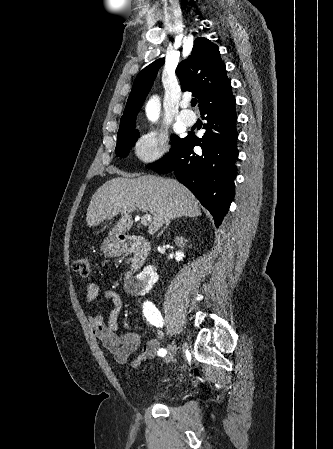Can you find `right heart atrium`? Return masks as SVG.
Masks as SVG:
<instances>
[{"instance_id":"1","label":"right heart atrium","mask_w":333,"mask_h":449,"mask_svg":"<svg viewBox=\"0 0 333 449\" xmlns=\"http://www.w3.org/2000/svg\"><path fill=\"white\" fill-rule=\"evenodd\" d=\"M168 149V138L159 132H147L142 134L134 145L136 156L147 163L160 161Z\"/></svg>"}]
</instances>
